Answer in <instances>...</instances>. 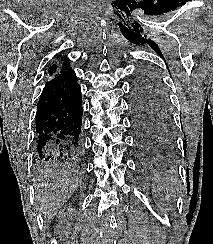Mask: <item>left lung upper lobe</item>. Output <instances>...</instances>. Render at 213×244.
<instances>
[{
  "label": "left lung upper lobe",
  "instance_id": "1",
  "mask_svg": "<svg viewBox=\"0 0 213 244\" xmlns=\"http://www.w3.org/2000/svg\"><path fill=\"white\" fill-rule=\"evenodd\" d=\"M159 75L142 69L132 88V114L147 121L160 138L168 140L173 134V116L168 94Z\"/></svg>",
  "mask_w": 213,
  "mask_h": 244
}]
</instances>
